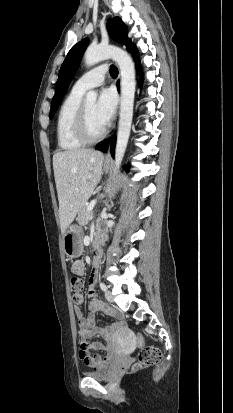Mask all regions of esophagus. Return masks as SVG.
Segmentation results:
<instances>
[{
	"label": "esophagus",
	"instance_id": "obj_1",
	"mask_svg": "<svg viewBox=\"0 0 233 413\" xmlns=\"http://www.w3.org/2000/svg\"><path fill=\"white\" fill-rule=\"evenodd\" d=\"M105 160H106V161H110V160H111V156H110V153H109V152L106 154Z\"/></svg>",
	"mask_w": 233,
	"mask_h": 413
}]
</instances>
